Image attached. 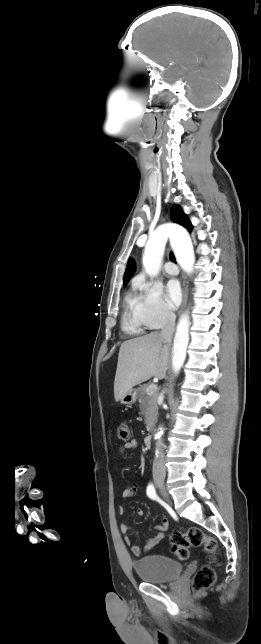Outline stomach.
<instances>
[{
    "label": "stomach",
    "mask_w": 261,
    "mask_h": 644,
    "mask_svg": "<svg viewBox=\"0 0 261 644\" xmlns=\"http://www.w3.org/2000/svg\"><path fill=\"white\" fill-rule=\"evenodd\" d=\"M138 397V391L137 390H131L127 392L121 399V403L125 405H132L136 402V399Z\"/></svg>",
    "instance_id": "stomach-1"
}]
</instances>
